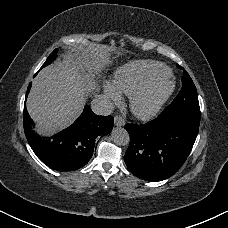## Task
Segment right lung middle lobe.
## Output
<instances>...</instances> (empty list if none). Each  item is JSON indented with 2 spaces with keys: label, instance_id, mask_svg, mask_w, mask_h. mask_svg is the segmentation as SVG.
Wrapping results in <instances>:
<instances>
[{
  "label": "right lung middle lobe",
  "instance_id": "dd1d6c3e",
  "mask_svg": "<svg viewBox=\"0 0 228 228\" xmlns=\"http://www.w3.org/2000/svg\"><path fill=\"white\" fill-rule=\"evenodd\" d=\"M57 51H58V49H55V50L52 52V54L47 58L46 62L42 65L41 68H43V67L49 65L53 60H55V58H56V56H57V55H56V54H57Z\"/></svg>",
  "mask_w": 228,
  "mask_h": 228
}]
</instances>
